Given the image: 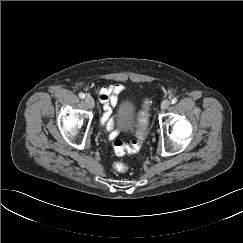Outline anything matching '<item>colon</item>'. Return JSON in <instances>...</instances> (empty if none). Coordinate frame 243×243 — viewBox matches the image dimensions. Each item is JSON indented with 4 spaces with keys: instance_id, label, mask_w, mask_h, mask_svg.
I'll return each mask as SVG.
<instances>
[{
    "instance_id": "colon-1",
    "label": "colon",
    "mask_w": 243,
    "mask_h": 243,
    "mask_svg": "<svg viewBox=\"0 0 243 243\" xmlns=\"http://www.w3.org/2000/svg\"><path fill=\"white\" fill-rule=\"evenodd\" d=\"M147 124H148V103L145 104L144 109L139 115L138 122H137L136 138L130 144H126L122 140L116 139L113 142L114 153L118 156H122L126 153L138 152L141 149L145 139ZM113 167L117 172H125L127 170V166L122 162L114 163Z\"/></svg>"
}]
</instances>
